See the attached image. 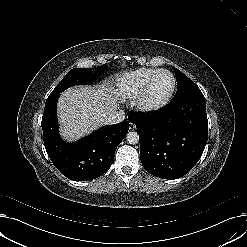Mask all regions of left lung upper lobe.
Wrapping results in <instances>:
<instances>
[{
    "mask_svg": "<svg viewBox=\"0 0 247 247\" xmlns=\"http://www.w3.org/2000/svg\"><path fill=\"white\" fill-rule=\"evenodd\" d=\"M175 74L177 80V92L171 101H177L189 95L201 92L199 87L180 70L175 69Z\"/></svg>",
    "mask_w": 247,
    "mask_h": 247,
    "instance_id": "left-lung-upper-lobe-1",
    "label": "left lung upper lobe"
}]
</instances>
